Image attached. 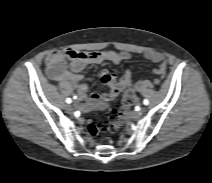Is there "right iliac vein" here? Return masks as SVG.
I'll list each match as a JSON object with an SVG mask.
<instances>
[{
	"label": "right iliac vein",
	"instance_id": "63e3f726",
	"mask_svg": "<svg viewBox=\"0 0 212 183\" xmlns=\"http://www.w3.org/2000/svg\"><path fill=\"white\" fill-rule=\"evenodd\" d=\"M66 110H67V112L71 113L72 112V106L71 105H67L66 106Z\"/></svg>",
	"mask_w": 212,
	"mask_h": 183
}]
</instances>
